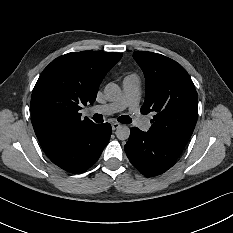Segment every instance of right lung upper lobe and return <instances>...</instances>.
Here are the masks:
<instances>
[{"label": "right lung upper lobe", "instance_id": "obj_1", "mask_svg": "<svg viewBox=\"0 0 233 233\" xmlns=\"http://www.w3.org/2000/svg\"><path fill=\"white\" fill-rule=\"evenodd\" d=\"M121 53L72 52L41 73L31 97V120L42 149L54 147L97 124L81 120V106L93 104L99 85Z\"/></svg>", "mask_w": 233, "mask_h": 233}]
</instances>
